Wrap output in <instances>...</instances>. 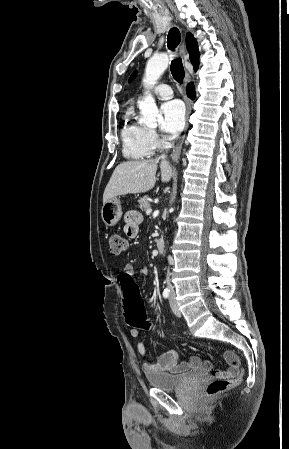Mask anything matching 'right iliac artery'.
Masks as SVG:
<instances>
[{
  "mask_svg": "<svg viewBox=\"0 0 289 449\" xmlns=\"http://www.w3.org/2000/svg\"><path fill=\"white\" fill-rule=\"evenodd\" d=\"M169 294H170V290L164 289V291H163V297H164V298H168V297H169Z\"/></svg>",
  "mask_w": 289,
  "mask_h": 449,
  "instance_id": "obj_1",
  "label": "right iliac artery"
}]
</instances>
